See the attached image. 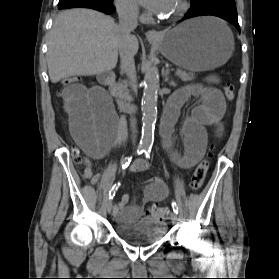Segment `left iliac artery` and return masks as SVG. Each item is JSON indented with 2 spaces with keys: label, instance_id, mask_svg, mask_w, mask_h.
Returning a JSON list of instances; mask_svg holds the SVG:
<instances>
[{
  "label": "left iliac artery",
  "instance_id": "left-iliac-artery-1",
  "mask_svg": "<svg viewBox=\"0 0 279 279\" xmlns=\"http://www.w3.org/2000/svg\"><path fill=\"white\" fill-rule=\"evenodd\" d=\"M150 152H151V147H147L146 150H145V152H144L146 158H150ZM172 208H173V211H174L176 214H178L179 208H178V206H177V204H176L175 201L172 202Z\"/></svg>",
  "mask_w": 279,
  "mask_h": 279
}]
</instances>
